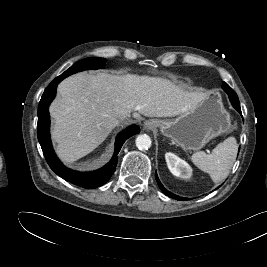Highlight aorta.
I'll return each instance as SVG.
<instances>
[{
	"label": "aorta",
	"mask_w": 267,
	"mask_h": 267,
	"mask_svg": "<svg viewBox=\"0 0 267 267\" xmlns=\"http://www.w3.org/2000/svg\"><path fill=\"white\" fill-rule=\"evenodd\" d=\"M136 146L139 150H148L151 147V138L147 134H141L136 138Z\"/></svg>",
	"instance_id": "obj_1"
}]
</instances>
